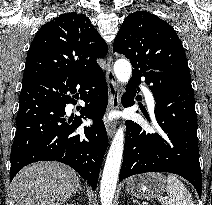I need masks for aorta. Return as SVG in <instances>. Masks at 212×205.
Here are the masks:
<instances>
[{"instance_id": "aorta-1", "label": "aorta", "mask_w": 212, "mask_h": 205, "mask_svg": "<svg viewBox=\"0 0 212 205\" xmlns=\"http://www.w3.org/2000/svg\"><path fill=\"white\" fill-rule=\"evenodd\" d=\"M114 73L121 83H127L131 77V64L125 59H119L114 64ZM124 126L120 127L110 145L100 185L101 205H111L122 162L124 149Z\"/></svg>"}]
</instances>
